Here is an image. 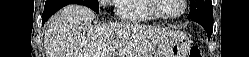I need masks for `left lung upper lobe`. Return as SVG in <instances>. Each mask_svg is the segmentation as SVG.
Masks as SVG:
<instances>
[{
  "mask_svg": "<svg viewBox=\"0 0 249 57\" xmlns=\"http://www.w3.org/2000/svg\"><path fill=\"white\" fill-rule=\"evenodd\" d=\"M189 19L198 17L213 18V7L211 0H190Z\"/></svg>",
  "mask_w": 249,
  "mask_h": 57,
  "instance_id": "left-lung-upper-lobe-1",
  "label": "left lung upper lobe"
}]
</instances>
